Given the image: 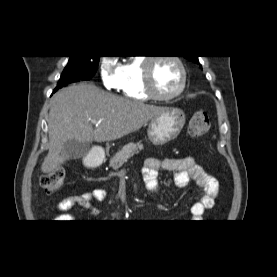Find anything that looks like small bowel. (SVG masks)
<instances>
[{
    "mask_svg": "<svg viewBox=\"0 0 277 277\" xmlns=\"http://www.w3.org/2000/svg\"><path fill=\"white\" fill-rule=\"evenodd\" d=\"M163 169L175 173V184L179 188L187 187L194 182L200 188V199L191 207V214L194 219L202 218L204 212L215 205L216 198L220 191L218 180L209 175L193 157H173L160 160L157 158H148L142 169V175L148 189L152 192L158 191V171ZM108 191L103 188H95L91 191H85L70 195L64 198L58 205L61 212H66L74 206H81L89 210L92 215L98 214V209L94 202H101L108 198ZM59 222H68L73 217L70 214L61 213L55 217ZM63 220V221H62Z\"/></svg>",
    "mask_w": 277,
    "mask_h": 277,
    "instance_id": "1",
    "label": "small bowel"
}]
</instances>
